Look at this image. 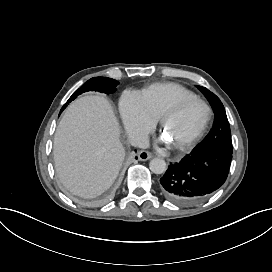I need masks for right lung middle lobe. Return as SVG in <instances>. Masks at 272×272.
Listing matches in <instances>:
<instances>
[{"instance_id": "right-lung-middle-lobe-1", "label": "right lung middle lobe", "mask_w": 272, "mask_h": 272, "mask_svg": "<svg viewBox=\"0 0 272 272\" xmlns=\"http://www.w3.org/2000/svg\"><path fill=\"white\" fill-rule=\"evenodd\" d=\"M119 84L118 81L107 78V77H94L86 81L77 91H75L66 104L73 101L78 95L86 91H99L106 94H111L116 90V86ZM64 105L60 113L65 109L67 105Z\"/></svg>"}]
</instances>
